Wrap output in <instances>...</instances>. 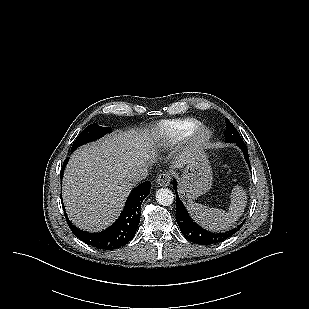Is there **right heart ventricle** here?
Instances as JSON below:
<instances>
[{
	"label": "right heart ventricle",
	"mask_w": 309,
	"mask_h": 309,
	"mask_svg": "<svg viewBox=\"0 0 309 309\" xmlns=\"http://www.w3.org/2000/svg\"><path fill=\"white\" fill-rule=\"evenodd\" d=\"M200 125L198 120L191 118L165 121L159 124L157 133L160 139L176 143L191 136Z\"/></svg>",
	"instance_id": "obj_1"
}]
</instances>
